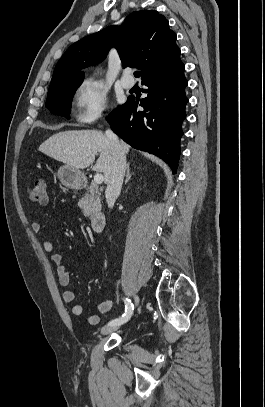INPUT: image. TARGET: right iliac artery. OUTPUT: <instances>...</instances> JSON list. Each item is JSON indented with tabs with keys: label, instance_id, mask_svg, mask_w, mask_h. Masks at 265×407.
<instances>
[{
	"label": "right iliac artery",
	"instance_id": "right-iliac-artery-1",
	"mask_svg": "<svg viewBox=\"0 0 265 407\" xmlns=\"http://www.w3.org/2000/svg\"><path fill=\"white\" fill-rule=\"evenodd\" d=\"M124 303H125V313L121 317L110 321L108 323V325H120L129 320V318L131 317V315L133 313L134 305L131 302V300L128 298L124 299Z\"/></svg>",
	"mask_w": 265,
	"mask_h": 407
}]
</instances>
